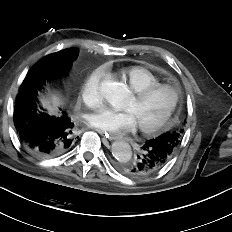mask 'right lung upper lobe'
Returning a JSON list of instances; mask_svg holds the SVG:
<instances>
[{"instance_id":"1","label":"right lung upper lobe","mask_w":232,"mask_h":232,"mask_svg":"<svg viewBox=\"0 0 232 232\" xmlns=\"http://www.w3.org/2000/svg\"><path fill=\"white\" fill-rule=\"evenodd\" d=\"M69 50H74L76 51V54L78 55V50L76 48H69ZM64 51V50H63Z\"/></svg>"}]
</instances>
